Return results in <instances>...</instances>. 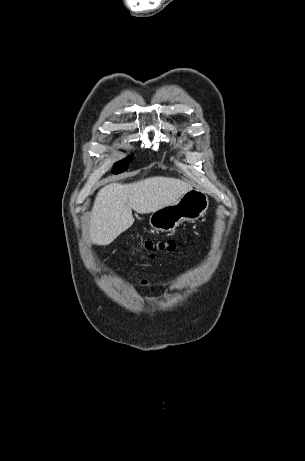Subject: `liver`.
I'll return each instance as SVG.
<instances>
[{
	"instance_id": "6515ba94",
	"label": "liver",
	"mask_w": 305,
	"mask_h": 461,
	"mask_svg": "<svg viewBox=\"0 0 305 461\" xmlns=\"http://www.w3.org/2000/svg\"><path fill=\"white\" fill-rule=\"evenodd\" d=\"M192 189L182 180L164 176L104 186L98 192L91 212V242L103 246L110 244L134 223L132 210L139 214L155 212L172 205Z\"/></svg>"
}]
</instances>
